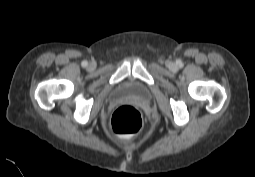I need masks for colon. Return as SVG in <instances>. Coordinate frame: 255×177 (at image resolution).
<instances>
[{"label":"colon","mask_w":255,"mask_h":177,"mask_svg":"<svg viewBox=\"0 0 255 177\" xmlns=\"http://www.w3.org/2000/svg\"><path fill=\"white\" fill-rule=\"evenodd\" d=\"M143 120L137 108L131 105L118 107L111 116V130L120 136H131L140 131Z\"/></svg>","instance_id":"colon-1"}]
</instances>
